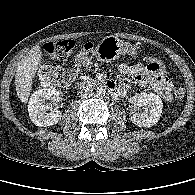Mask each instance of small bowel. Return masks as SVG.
I'll return each mask as SVG.
<instances>
[{
  "mask_svg": "<svg viewBox=\"0 0 195 195\" xmlns=\"http://www.w3.org/2000/svg\"><path fill=\"white\" fill-rule=\"evenodd\" d=\"M118 70L121 74L126 76H131L134 82L139 86H144L154 90L164 101H170L172 99V83L165 78H159L152 74H149L143 64L128 65L120 64ZM127 92V87L125 85L119 86L116 93L113 95L115 97H123Z\"/></svg>",
  "mask_w": 195,
  "mask_h": 195,
  "instance_id": "c3829d8e",
  "label": "small bowel"
}]
</instances>
